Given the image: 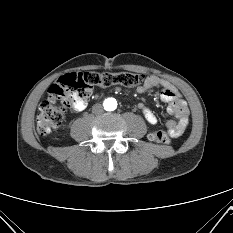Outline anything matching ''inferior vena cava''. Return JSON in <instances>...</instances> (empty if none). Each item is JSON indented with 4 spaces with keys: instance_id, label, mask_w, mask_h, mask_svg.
<instances>
[{
    "instance_id": "602c4592",
    "label": "inferior vena cava",
    "mask_w": 233,
    "mask_h": 233,
    "mask_svg": "<svg viewBox=\"0 0 233 233\" xmlns=\"http://www.w3.org/2000/svg\"><path fill=\"white\" fill-rule=\"evenodd\" d=\"M92 112L95 113V114H100L103 112V107L101 104H95L93 107H92Z\"/></svg>"
}]
</instances>
